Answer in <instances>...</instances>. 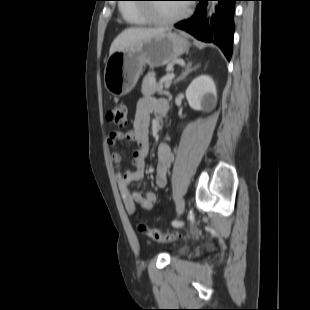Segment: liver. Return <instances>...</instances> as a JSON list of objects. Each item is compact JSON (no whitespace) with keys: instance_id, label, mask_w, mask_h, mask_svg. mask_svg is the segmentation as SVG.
Returning <instances> with one entry per match:
<instances>
[{"instance_id":"obj_1","label":"liver","mask_w":310,"mask_h":310,"mask_svg":"<svg viewBox=\"0 0 310 310\" xmlns=\"http://www.w3.org/2000/svg\"><path fill=\"white\" fill-rule=\"evenodd\" d=\"M168 28H128L122 31L112 42L109 55L147 41L157 35L167 32Z\"/></svg>"}]
</instances>
